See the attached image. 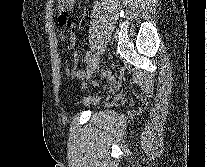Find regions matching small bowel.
Instances as JSON below:
<instances>
[{"label":"small bowel","mask_w":207,"mask_h":167,"mask_svg":"<svg viewBox=\"0 0 207 167\" xmlns=\"http://www.w3.org/2000/svg\"><path fill=\"white\" fill-rule=\"evenodd\" d=\"M76 0H58V9L60 11L59 24L69 32V41L66 45L67 49H72L76 41L75 25L69 20L67 13L72 11ZM59 37L64 39V32L59 33ZM82 61L87 62V54L82 56ZM74 66L66 67L65 74L73 79H82L85 77V72L79 69L80 57L78 53H73Z\"/></svg>","instance_id":"obj_1"}]
</instances>
